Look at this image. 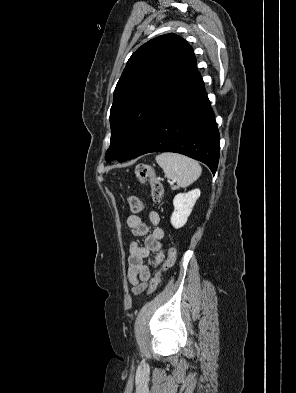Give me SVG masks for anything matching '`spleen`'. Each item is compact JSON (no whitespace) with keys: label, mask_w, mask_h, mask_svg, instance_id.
I'll return each mask as SVG.
<instances>
[{"label":"spleen","mask_w":296,"mask_h":393,"mask_svg":"<svg viewBox=\"0 0 296 393\" xmlns=\"http://www.w3.org/2000/svg\"><path fill=\"white\" fill-rule=\"evenodd\" d=\"M165 177L176 181L178 187H187L196 181L202 172L199 163L177 153H162L155 158Z\"/></svg>","instance_id":"obj_1"}]
</instances>
